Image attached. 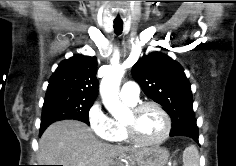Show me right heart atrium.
<instances>
[{"instance_id":"obj_1","label":"right heart atrium","mask_w":236,"mask_h":166,"mask_svg":"<svg viewBox=\"0 0 236 166\" xmlns=\"http://www.w3.org/2000/svg\"><path fill=\"white\" fill-rule=\"evenodd\" d=\"M88 124L92 132L100 139L111 141L114 136L113 122L104 111L100 102H94L87 112Z\"/></svg>"}]
</instances>
